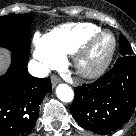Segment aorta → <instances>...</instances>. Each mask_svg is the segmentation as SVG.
Listing matches in <instances>:
<instances>
[{"instance_id": "aorta-1", "label": "aorta", "mask_w": 136, "mask_h": 136, "mask_svg": "<svg viewBox=\"0 0 136 136\" xmlns=\"http://www.w3.org/2000/svg\"><path fill=\"white\" fill-rule=\"evenodd\" d=\"M56 95L62 102H71L74 97V92L69 85L59 84L56 88Z\"/></svg>"}]
</instances>
